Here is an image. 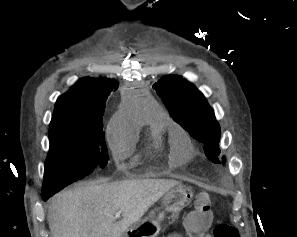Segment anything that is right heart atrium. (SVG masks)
Returning a JSON list of instances; mask_svg holds the SVG:
<instances>
[{
  "label": "right heart atrium",
  "mask_w": 297,
  "mask_h": 237,
  "mask_svg": "<svg viewBox=\"0 0 297 237\" xmlns=\"http://www.w3.org/2000/svg\"><path fill=\"white\" fill-rule=\"evenodd\" d=\"M109 138L112 141L114 138V132L112 131V126L109 127Z\"/></svg>",
  "instance_id": "obj_1"
}]
</instances>
